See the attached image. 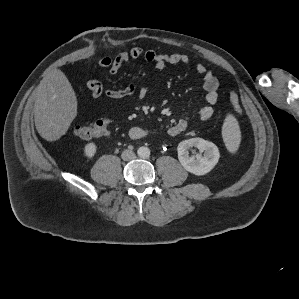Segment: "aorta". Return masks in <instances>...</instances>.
<instances>
[{"label":"aorta","instance_id":"aorta-1","mask_svg":"<svg viewBox=\"0 0 299 299\" xmlns=\"http://www.w3.org/2000/svg\"><path fill=\"white\" fill-rule=\"evenodd\" d=\"M137 154L141 158H147L150 156V149L144 146L139 147V149L137 150Z\"/></svg>","mask_w":299,"mask_h":299}]
</instances>
